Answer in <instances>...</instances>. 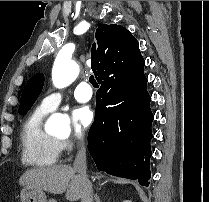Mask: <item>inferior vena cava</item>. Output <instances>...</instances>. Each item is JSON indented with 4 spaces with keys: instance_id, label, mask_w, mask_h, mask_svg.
I'll list each match as a JSON object with an SVG mask.
<instances>
[{
    "instance_id": "602c4592",
    "label": "inferior vena cava",
    "mask_w": 209,
    "mask_h": 202,
    "mask_svg": "<svg viewBox=\"0 0 209 202\" xmlns=\"http://www.w3.org/2000/svg\"><path fill=\"white\" fill-rule=\"evenodd\" d=\"M74 170L84 179V184L81 192V202H93L92 184L89 181L86 173V151L83 143L79 144V148L74 161Z\"/></svg>"
}]
</instances>
